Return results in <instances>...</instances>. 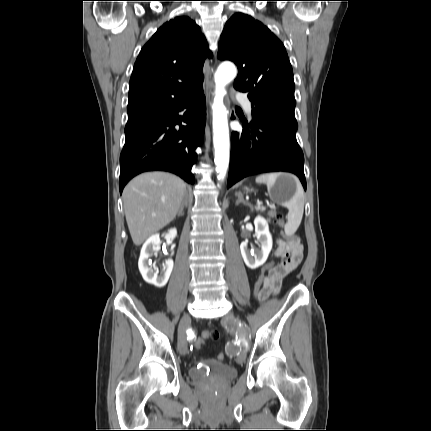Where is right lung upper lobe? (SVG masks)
<instances>
[{
  "label": "right lung upper lobe",
  "mask_w": 431,
  "mask_h": 431,
  "mask_svg": "<svg viewBox=\"0 0 431 431\" xmlns=\"http://www.w3.org/2000/svg\"><path fill=\"white\" fill-rule=\"evenodd\" d=\"M212 57L200 28L188 17L161 26L142 48L130 78L128 119L172 108L202 87Z\"/></svg>",
  "instance_id": "cb5924a9"
}]
</instances>
